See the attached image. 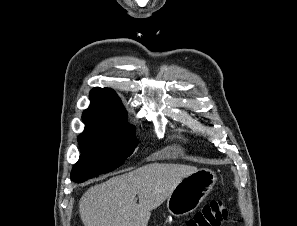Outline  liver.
<instances>
[{
	"label": "liver",
	"mask_w": 297,
	"mask_h": 226,
	"mask_svg": "<svg viewBox=\"0 0 297 226\" xmlns=\"http://www.w3.org/2000/svg\"><path fill=\"white\" fill-rule=\"evenodd\" d=\"M197 170L189 165L153 163L112 177L83 194L79 202L81 220L84 226H147L151 211L183 178Z\"/></svg>",
	"instance_id": "1"
}]
</instances>
